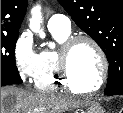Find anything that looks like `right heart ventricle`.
Returning <instances> with one entry per match:
<instances>
[{"label": "right heart ventricle", "mask_w": 123, "mask_h": 113, "mask_svg": "<svg viewBox=\"0 0 123 113\" xmlns=\"http://www.w3.org/2000/svg\"><path fill=\"white\" fill-rule=\"evenodd\" d=\"M53 38L61 45L68 37L69 32L51 31ZM59 48L44 49L38 56L37 73L34 78V86L37 90L43 92H52L59 88L68 89L74 93L63 81L59 72L58 62Z\"/></svg>", "instance_id": "1"}]
</instances>
